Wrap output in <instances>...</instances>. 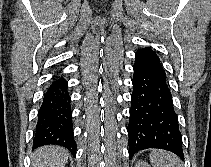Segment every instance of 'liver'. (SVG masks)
I'll use <instances>...</instances> for the list:
<instances>
[{"label":"liver","instance_id":"liver-1","mask_svg":"<svg viewBox=\"0 0 211 167\" xmlns=\"http://www.w3.org/2000/svg\"><path fill=\"white\" fill-rule=\"evenodd\" d=\"M69 152L60 146H44L32 155V167H64Z\"/></svg>","mask_w":211,"mask_h":167}]
</instances>
